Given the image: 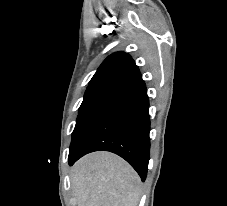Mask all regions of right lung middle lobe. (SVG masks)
Listing matches in <instances>:
<instances>
[{"label": "right lung middle lobe", "instance_id": "dd1d6c3e", "mask_svg": "<svg viewBox=\"0 0 227 206\" xmlns=\"http://www.w3.org/2000/svg\"><path fill=\"white\" fill-rule=\"evenodd\" d=\"M129 86V83L121 81H106L88 86L72 133L69 154L75 150L100 114L125 94Z\"/></svg>", "mask_w": 227, "mask_h": 206}]
</instances>
